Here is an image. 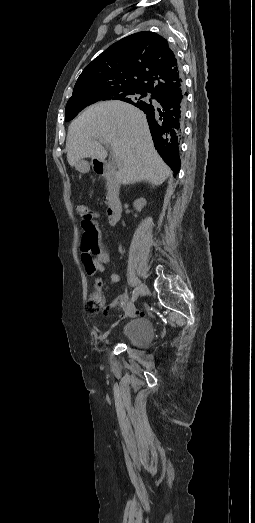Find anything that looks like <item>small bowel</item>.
<instances>
[{
	"label": "small bowel",
	"instance_id": "small-bowel-1",
	"mask_svg": "<svg viewBox=\"0 0 255 523\" xmlns=\"http://www.w3.org/2000/svg\"><path fill=\"white\" fill-rule=\"evenodd\" d=\"M92 219L89 222H82V240H81V260L84 264L87 274L94 275L97 272L103 273L106 264L110 261L109 253L104 249L101 242V231L96 221L100 217L97 212H92ZM109 279L112 283L119 281L117 273H110ZM121 300L126 299V295L120 296Z\"/></svg>",
	"mask_w": 255,
	"mask_h": 523
}]
</instances>
